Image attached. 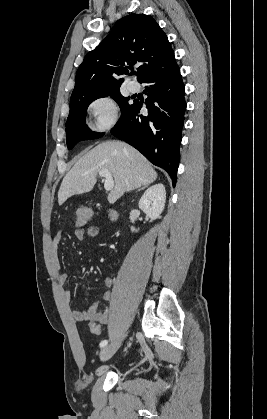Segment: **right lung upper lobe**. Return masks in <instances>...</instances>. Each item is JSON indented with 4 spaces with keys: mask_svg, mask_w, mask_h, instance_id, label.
Wrapping results in <instances>:
<instances>
[{
    "mask_svg": "<svg viewBox=\"0 0 267 419\" xmlns=\"http://www.w3.org/2000/svg\"><path fill=\"white\" fill-rule=\"evenodd\" d=\"M175 61L166 34L145 14H130L118 20L109 35L88 52L79 66L71 100L120 90L121 75L136 63L140 82L150 72Z\"/></svg>",
    "mask_w": 267,
    "mask_h": 419,
    "instance_id": "obj_1",
    "label": "right lung upper lobe"
}]
</instances>
